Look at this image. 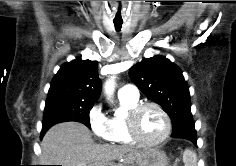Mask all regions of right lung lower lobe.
I'll return each mask as SVG.
<instances>
[{"label":"right lung lower lobe","instance_id":"1","mask_svg":"<svg viewBox=\"0 0 236 166\" xmlns=\"http://www.w3.org/2000/svg\"><path fill=\"white\" fill-rule=\"evenodd\" d=\"M46 131H42L41 132V138L43 137V135L45 134Z\"/></svg>","mask_w":236,"mask_h":166}]
</instances>
